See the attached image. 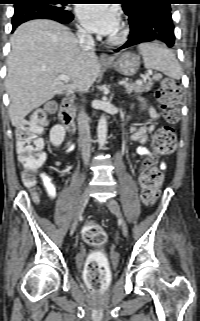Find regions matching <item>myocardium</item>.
<instances>
[{
    "label": "myocardium",
    "mask_w": 200,
    "mask_h": 321,
    "mask_svg": "<svg viewBox=\"0 0 200 321\" xmlns=\"http://www.w3.org/2000/svg\"><path fill=\"white\" fill-rule=\"evenodd\" d=\"M129 35V30L125 26H121L113 35L108 38L111 45L123 44Z\"/></svg>",
    "instance_id": "f54148a6"
}]
</instances>
